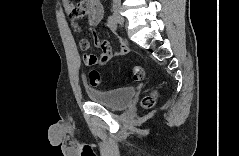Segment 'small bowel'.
I'll return each mask as SVG.
<instances>
[{
	"label": "small bowel",
	"mask_w": 239,
	"mask_h": 156,
	"mask_svg": "<svg viewBox=\"0 0 239 156\" xmlns=\"http://www.w3.org/2000/svg\"><path fill=\"white\" fill-rule=\"evenodd\" d=\"M63 7L64 10L71 16L73 27L76 32H80V28L77 24L80 19L85 17L88 24L94 27L97 26L103 18V5L100 0H82L78 3L70 0H64ZM78 14L81 15L78 16ZM92 40L94 45L102 50V53L100 56L86 53L85 60L89 66L105 65L112 59V57L122 56L128 52V46L123 42L118 50L113 51L110 42L106 40L101 41L98 34L94 30L92 31ZM79 45L80 49L84 52H87L91 48L90 42L86 39L80 40Z\"/></svg>",
	"instance_id": "obj_1"
}]
</instances>
